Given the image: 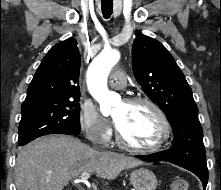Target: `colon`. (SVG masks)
I'll use <instances>...</instances> for the list:
<instances>
[{"mask_svg":"<svg viewBox=\"0 0 221 190\" xmlns=\"http://www.w3.org/2000/svg\"><path fill=\"white\" fill-rule=\"evenodd\" d=\"M170 190H188V182L185 179H176L171 182Z\"/></svg>","mask_w":221,"mask_h":190,"instance_id":"1","label":"colon"}]
</instances>
